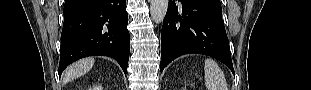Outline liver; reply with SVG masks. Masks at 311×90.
Wrapping results in <instances>:
<instances>
[{"instance_id":"6515ba94","label":"liver","mask_w":311,"mask_h":90,"mask_svg":"<svg viewBox=\"0 0 311 90\" xmlns=\"http://www.w3.org/2000/svg\"><path fill=\"white\" fill-rule=\"evenodd\" d=\"M94 62V58H84L73 63L65 71V83L89 72L92 69Z\"/></svg>"}]
</instances>
